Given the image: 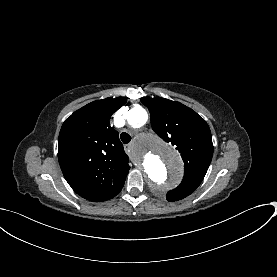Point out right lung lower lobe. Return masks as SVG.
I'll use <instances>...</instances> for the list:
<instances>
[{
	"label": "right lung lower lobe",
	"instance_id": "1",
	"mask_svg": "<svg viewBox=\"0 0 277 277\" xmlns=\"http://www.w3.org/2000/svg\"><path fill=\"white\" fill-rule=\"evenodd\" d=\"M78 159L77 156H75L74 159H71L73 162L69 164V167L75 169L76 173L82 172V171H89V170H96L95 168L91 166H87L84 162H78L76 161ZM112 165H105L104 167H101L100 169L96 170L98 173L97 178L103 177L104 180H107L110 178V175L115 172V170L112 168Z\"/></svg>",
	"mask_w": 277,
	"mask_h": 277
}]
</instances>
